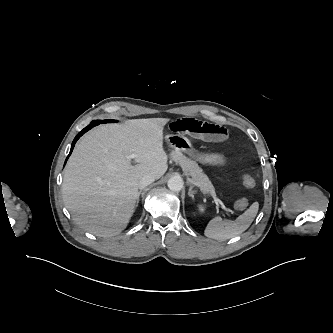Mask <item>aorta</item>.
Listing matches in <instances>:
<instances>
[{
	"label": "aorta",
	"mask_w": 333,
	"mask_h": 333,
	"mask_svg": "<svg viewBox=\"0 0 333 333\" xmlns=\"http://www.w3.org/2000/svg\"><path fill=\"white\" fill-rule=\"evenodd\" d=\"M167 185L170 190L179 192L183 188V180L180 177H172L168 180Z\"/></svg>",
	"instance_id": "1"
}]
</instances>
